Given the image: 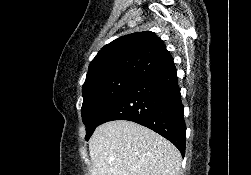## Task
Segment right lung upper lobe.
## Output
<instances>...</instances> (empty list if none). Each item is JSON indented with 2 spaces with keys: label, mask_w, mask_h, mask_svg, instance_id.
Listing matches in <instances>:
<instances>
[{
  "label": "right lung upper lobe",
  "mask_w": 251,
  "mask_h": 175,
  "mask_svg": "<svg viewBox=\"0 0 251 175\" xmlns=\"http://www.w3.org/2000/svg\"><path fill=\"white\" fill-rule=\"evenodd\" d=\"M174 67L171 54L154 32L132 33L115 39L98 52L83 86L121 75L141 80Z\"/></svg>",
  "instance_id": "right-lung-upper-lobe-1"
}]
</instances>
